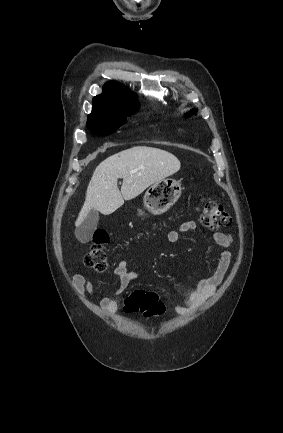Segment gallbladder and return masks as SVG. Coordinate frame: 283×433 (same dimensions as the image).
<instances>
[{"label":"gallbladder","instance_id":"bac80fb5","mask_svg":"<svg viewBox=\"0 0 283 433\" xmlns=\"http://www.w3.org/2000/svg\"><path fill=\"white\" fill-rule=\"evenodd\" d=\"M99 221V212L98 210H90L86 217L81 223L80 227H77L75 231L76 239L80 241V243H89L94 231L97 229Z\"/></svg>","mask_w":283,"mask_h":433}]
</instances>
